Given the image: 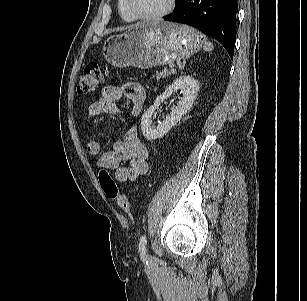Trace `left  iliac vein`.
<instances>
[{"label":"left iliac vein","mask_w":307,"mask_h":301,"mask_svg":"<svg viewBox=\"0 0 307 301\" xmlns=\"http://www.w3.org/2000/svg\"><path fill=\"white\" fill-rule=\"evenodd\" d=\"M149 260H152V257H151V256H149Z\"/></svg>","instance_id":"1"}]
</instances>
